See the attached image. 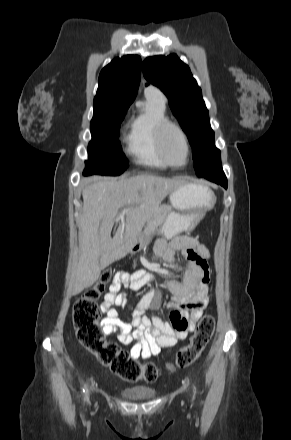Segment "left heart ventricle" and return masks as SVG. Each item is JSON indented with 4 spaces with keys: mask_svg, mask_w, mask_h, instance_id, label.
<instances>
[{
    "mask_svg": "<svg viewBox=\"0 0 291 440\" xmlns=\"http://www.w3.org/2000/svg\"><path fill=\"white\" fill-rule=\"evenodd\" d=\"M165 151L170 161L175 164H183L186 160L184 142L175 130H169L166 134Z\"/></svg>",
    "mask_w": 291,
    "mask_h": 440,
    "instance_id": "obj_1",
    "label": "left heart ventricle"
}]
</instances>
